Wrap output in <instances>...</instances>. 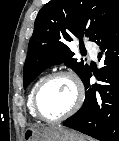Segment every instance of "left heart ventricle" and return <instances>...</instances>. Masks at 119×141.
Masks as SVG:
<instances>
[{"mask_svg":"<svg viewBox=\"0 0 119 141\" xmlns=\"http://www.w3.org/2000/svg\"><path fill=\"white\" fill-rule=\"evenodd\" d=\"M74 99L72 82L68 78L58 77L42 88L38 98L39 110L46 118H56L69 110Z\"/></svg>","mask_w":119,"mask_h":141,"instance_id":"obj_1","label":"left heart ventricle"}]
</instances>
